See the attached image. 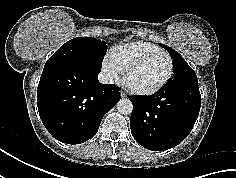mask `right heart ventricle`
Listing matches in <instances>:
<instances>
[{
  "mask_svg": "<svg viewBox=\"0 0 236 178\" xmlns=\"http://www.w3.org/2000/svg\"><path fill=\"white\" fill-rule=\"evenodd\" d=\"M156 51L162 49L147 42L137 41L115 46L110 51L109 58L122 73L135 59Z\"/></svg>",
  "mask_w": 236,
  "mask_h": 178,
  "instance_id": "obj_1",
  "label": "right heart ventricle"
}]
</instances>
